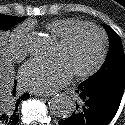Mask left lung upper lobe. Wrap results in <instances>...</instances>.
Instances as JSON below:
<instances>
[{
  "instance_id": "1",
  "label": "left lung upper lobe",
  "mask_w": 125,
  "mask_h": 125,
  "mask_svg": "<svg viewBox=\"0 0 125 125\" xmlns=\"http://www.w3.org/2000/svg\"><path fill=\"white\" fill-rule=\"evenodd\" d=\"M105 27L110 39V51L101 69L82 82L87 87L125 79V56L121 39L111 27Z\"/></svg>"
}]
</instances>
